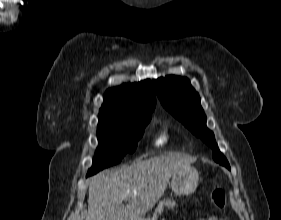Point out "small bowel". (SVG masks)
Instances as JSON below:
<instances>
[{"mask_svg":"<svg viewBox=\"0 0 281 220\" xmlns=\"http://www.w3.org/2000/svg\"><path fill=\"white\" fill-rule=\"evenodd\" d=\"M199 220H218V219L215 218V217H209V218H207V219H199Z\"/></svg>","mask_w":281,"mask_h":220,"instance_id":"obj_1","label":"small bowel"}]
</instances>
